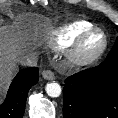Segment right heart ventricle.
I'll return each mask as SVG.
<instances>
[{
  "label": "right heart ventricle",
  "instance_id": "e07e8e85",
  "mask_svg": "<svg viewBox=\"0 0 118 118\" xmlns=\"http://www.w3.org/2000/svg\"><path fill=\"white\" fill-rule=\"evenodd\" d=\"M93 27L94 24L86 20L65 24L52 32L49 45L55 51H63L69 48L84 31Z\"/></svg>",
  "mask_w": 118,
  "mask_h": 118
}]
</instances>
